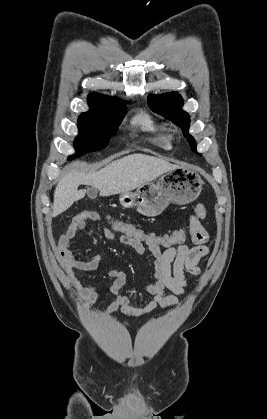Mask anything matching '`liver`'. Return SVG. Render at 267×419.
<instances>
[{
  "label": "liver",
  "instance_id": "6515ba94",
  "mask_svg": "<svg viewBox=\"0 0 267 419\" xmlns=\"http://www.w3.org/2000/svg\"><path fill=\"white\" fill-rule=\"evenodd\" d=\"M176 167L163 159L137 153L115 160L97 172L85 174L72 169L56 186L52 216L63 213L85 196V190H78L79 185H90L101 196H111L134 190Z\"/></svg>",
  "mask_w": 267,
  "mask_h": 419
}]
</instances>
